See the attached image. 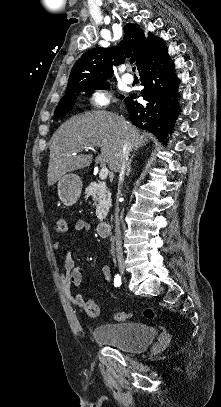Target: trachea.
Segmentation results:
<instances>
[{
  "label": "trachea",
  "mask_w": 221,
  "mask_h": 407,
  "mask_svg": "<svg viewBox=\"0 0 221 407\" xmlns=\"http://www.w3.org/2000/svg\"><path fill=\"white\" fill-rule=\"evenodd\" d=\"M132 71L135 72V67L132 68Z\"/></svg>",
  "instance_id": "obj_1"
}]
</instances>
